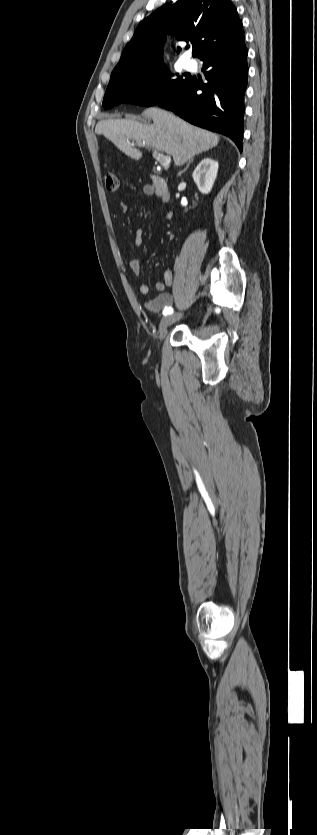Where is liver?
<instances>
[{"label":"liver","instance_id":"1","mask_svg":"<svg viewBox=\"0 0 317 835\" xmlns=\"http://www.w3.org/2000/svg\"><path fill=\"white\" fill-rule=\"evenodd\" d=\"M143 116L152 119L153 124H143L135 119H105L97 123L95 133L102 134L132 159L142 157V152L134 147L135 142L171 155L176 166H182L219 143L217 134L162 109L148 108Z\"/></svg>","mask_w":317,"mask_h":835}]
</instances>
